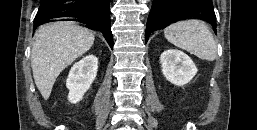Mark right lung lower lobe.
Masks as SVG:
<instances>
[{"label": "right lung lower lobe", "mask_w": 257, "mask_h": 130, "mask_svg": "<svg viewBox=\"0 0 257 130\" xmlns=\"http://www.w3.org/2000/svg\"><path fill=\"white\" fill-rule=\"evenodd\" d=\"M61 17H67L64 20L77 21L92 30L102 32L110 47L113 48L110 0H42L34 19V29Z\"/></svg>", "instance_id": "1"}]
</instances>
